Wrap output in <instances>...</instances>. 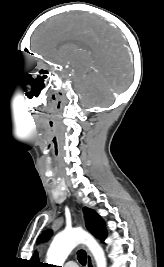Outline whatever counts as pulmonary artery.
<instances>
[{
    "mask_svg": "<svg viewBox=\"0 0 164 267\" xmlns=\"http://www.w3.org/2000/svg\"><path fill=\"white\" fill-rule=\"evenodd\" d=\"M64 267H78V265L75 262L69 261L65 263Z\"/></svg>",
    "mask_w": 164,
    "mask_h": 267,
    "instance_id": "pulmonary-artery-1",
    "label": "pulmonary artery"
}]
</instances>
